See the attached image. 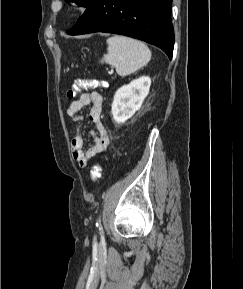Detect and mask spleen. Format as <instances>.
<instances>
[{
	"instance_id": "obj_1",
	"label": "spleen",
	"mask_w": 243,
	"mask_h": 289,
	"mask_svg": "<svg viewBox=\"0 0 243 289\" xmlns=\"http://www.w3.org/2000/svg\"><path fill=\"white\" fill-rule=\"evenodd\" d=\"M107 54L101 63L112 65L119 76L125 77L144 67L151 60L150 49L141 41L114 35L106 41Z\"/></svg>"
}]
</instances>
